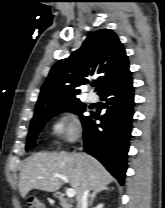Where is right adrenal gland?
Masks as SVG:
<instances>
[{
    "label": "right adrenal gland",
    "mask_w": 165,
    "mask_h": 208,
    "mask_svg": "<svg viewBox=\"0 0 165 208\" xmlns=\"http://www.w3.org/2000/svg\"><path fill=\"white\" fill-rule=\"evenodd\" d=\"M102 191H109V188L106 187V186H104V187H100V188L95 189V190L93 191V193L91 194L90 201H89V204H88L89 206H92L93 201H94L96 195H97L98 193L102 192Z\"/></svg>",
    "instance_id": "right-adrenal-gland-1"
}]
</instances>
